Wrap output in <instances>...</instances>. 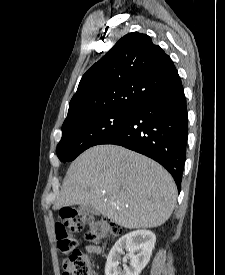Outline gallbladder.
<instances>
[{"label": "gallbladder", "mask_w": 225, "mask_h": 275, "mask_svg": "<svg viewBox=\"0 0 225 275\" xmlns=\"http://www.w3.org/2000/svg\"><path fill=\"white\" fill-rule=\"evenodd\" d=\"M79 209H80L81 211H85V210H87V211H92V208H91V207L84 206V205H80Z\"/></svg>", "instance_id": "gallbladder-1"}]
</instances>
